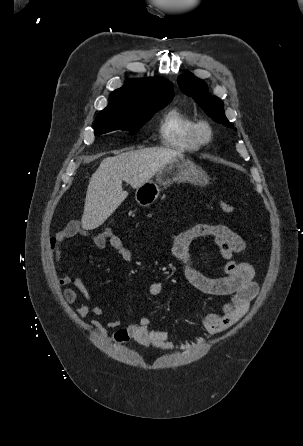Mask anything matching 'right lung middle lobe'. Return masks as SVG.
<instances>
[{
  "instance_id": "1",
  "label": "right lung middle lobe",
  "mask_w": 303,
  "mask_h": 446,
  "mask_svg": "<svg viewBox=\"0 0 303 446\" xmlns=\"http://www.w3.org/2000/svg\"><path fill=\"white\" fill-rule=\"evenodd\" d=\"M166 105H157L152 109L138 113L102 110L95 120V135H101L118 129L134 132L140 129L155 112Z\"/></svg>"
}]
</instances>
